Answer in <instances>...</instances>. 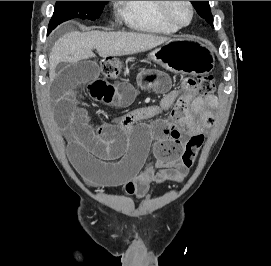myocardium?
<instances>
[{
    "label": "myocardium",
    "instance_id": "f54148a6",
    "mask_svg": "<svg viewBox=\"0 0 271 266\" xmlns=\"http://www.w3.org/2000/svg\"><path fill=\"white\" fill-rule=\"evenodd\" d=\"M172 2L173 1H162V13H163L164 17L167 19V21L178 29L185 28V27H188L189 25H191V23L193 22L194 17H195V7H194L193 2L192 1H185L190 8V19L186 24H181L173 18L172 14L170 12V6H171Z\"/></svg>",
    "mask_w": 271,
    "mask_h": 266
}]
</instances>
